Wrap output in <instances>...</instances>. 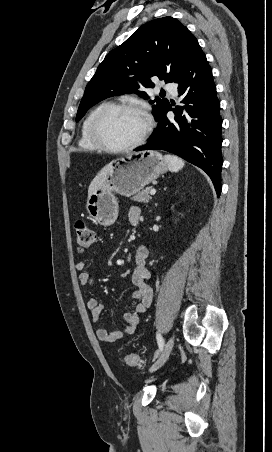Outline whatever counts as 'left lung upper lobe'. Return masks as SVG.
Listing matches in <instances>:
<instances>
[{
  "label": "left lung upper lobe",
  "mask_w": 272,
  "mask_h": 452,
  "mask_svg": "<svg viewBox=\"0 0 272 452\" xmlns=\"http://www.w3.org/2000/svg\"><path fill=\"white\" fill-rule=\"evenodd\" d=\"M197 39L177 19L163 17L142 25L123 44L110 51L86 86L76 121L98 102L115 95L137 93L147 99L140 87H154L151 77L174 82ZM155 119L169 104L156 97Z\"/></svg>",
  "instance_id": "obj_1"
}]
</instances>
